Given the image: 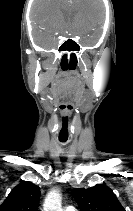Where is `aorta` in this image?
I'll list each match as a JSON object with an SVG mask.
<instances>
[{
	"label": "aorta",
	"instance_id": "762f6f07",
	"mask_svg": "<svg viewBox=\"0 0 133 211\" xmlns=\"http://www.w3.org/2000/svg\"><path fill=\"white\" fill-rule=\"evenodd\" d=\"M62 197L59 190H51L43 204V211H62L61 210Z\"/></svg>",
	"mask_w": 133,
	"mask_h": 211
}]
</instances>
